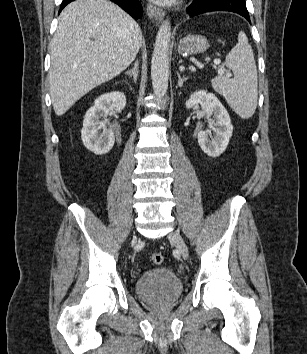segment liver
Instances as JSON below:
<instances>
[{
	"mask_svg": "<svg viewBox=\"0 0 307 354\" xmlns=\"http://www.w3.org/2000/svg\"><path fill=\"white\" fill-rule=\"evenodd\" d=\"M142 42L139 25L118 5L108 0L68 4L50 45V96L55 114L62 116L93 88L124 71Z\"/></svg>",
	"mask_w": 307,
	"mask_h": 354,
	"instance_id": "6515ba94",
	"label": "liver"
}]
</instances>
